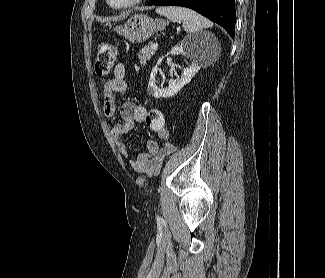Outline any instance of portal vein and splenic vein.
<instances>
[{
  "instance_id": "portal-vein-and-splenic-vein-1",
  "label": "portal vein and splenic vein",
  "mask_w": 325,
  "mask_h": 278,
  "mask_svg": "<svg viewBox=\"0 0 325 278\" xmlns=\"http://www.w3.org/2000/svg\"><path fill=\"white\" fill-rule=\"evenodd\" d=\"M150 47L155 49L158 47V43L157 42L151 43Z\"/></svg>"
}]
</instances>
